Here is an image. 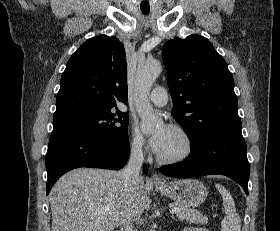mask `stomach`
I'll return each instance as SVG.
<instances>
[{
  "label": "stomach",
  "mask_w": 280,
  "mask_h": 231,
  "mask_svg": "<svg viewBox=\"0 0 280 231\" xmlns=\"http://www.w3.org/2000/svg\"><path fill=\"white\" fill-rule=\"evenodd\" d=\"M158 191L162 195L171 197L177 203L185 205V207H197L203 203L207 197V189L198 179H177V181H169L167 187H161L155 183Z\"/></svg>",
  "instance_id": "0dacf381"
}]
</instances>
